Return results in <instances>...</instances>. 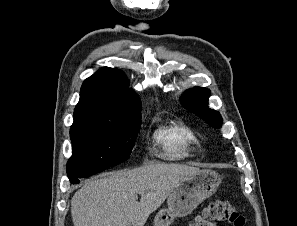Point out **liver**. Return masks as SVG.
<instances>
[{
    "instance_id": "6515ba94",
    "label": "liver",
    "mask_w": 297,
    "mask_h": 226,
    "mask_svg": "<svg viewBox=\"0 0 297 226\" xmlns=\"http://www.w3.org/2000/svg\"><path fill=\"white\" fill-rule=\"evenodd\" d=\"M200 170L182 164L151 163L85 182L71 200L74 226H144L174 187ZM141 195L137 201V195Z\"/></svg>"
}]
</instances>
